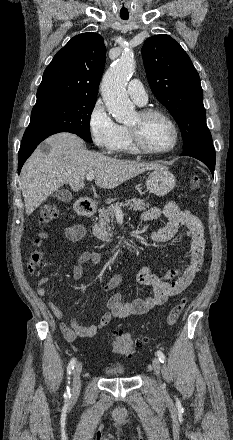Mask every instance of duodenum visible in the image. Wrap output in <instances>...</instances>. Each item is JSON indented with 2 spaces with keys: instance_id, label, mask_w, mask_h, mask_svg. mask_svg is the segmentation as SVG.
<instances>
[{
  "instance_id": "obj_1",
  "label": "duodenum",
  "mask_w": 233,
  "mask_h": 440,
  "mask_svg": "<svg viewBox=\"0 0 233 440\" xmlns=\"http://www.w3.org/2000/svg\"><path fill=\"white\" fill-rule=\"evenodd\" d=\"M95 212V208L87 201L81 200L76 203V213L81 217L92 216Z\"/></svg>"
}]
</instances>
